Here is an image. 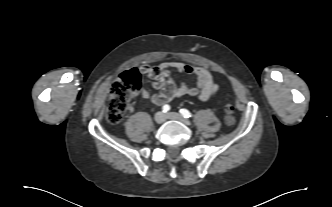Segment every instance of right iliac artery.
<instances>
[{
	"label": "right iliac artery",
	"mask_w": 332,
	"mask_h": 207,
	"mask_svg": "<svg viewBox=\"0 0 332 207\" xmlns=\"http://www.w3.org/2000/svg\"><path fill=\"white\" fill-rule=\"evenodd\" d=\"M169 110H170V106H169V105H164V106L162 107V111H163L164 113H167Z\"/></svg>",
	"instance_id": "82829eb1"
}]
</instances>
